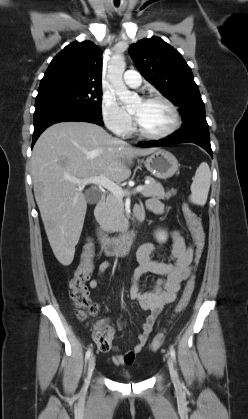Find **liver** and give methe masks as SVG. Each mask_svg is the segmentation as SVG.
<instances>
[{
	"label": "liver",
	"mask_w": 248,
	"mask_h": 419,
	"mask_svg": "<svg viewBox=\"0 0 248 419\" xmlns=\"http://www.w3.org/2000/svg\"><path fill=\"white\" fill-rule=\"evenodd\" d=\"M158 148H134L88 122H60L37 140L31 157L34 195L57 260L72 263L86 215L83 186L73 179L104 175L122 182L131 175L127 164Z\"/></svg>",
	"instance_id": "1"
}]
</instances>
